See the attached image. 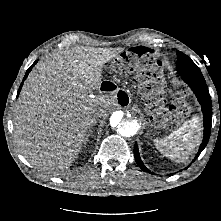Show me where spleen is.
Listing matches in <instances>:
<instances>
[{
  "label": "spleen",
  "mask_w": 221,
  "mask_h": 221,
  "mask_svg": "<svg viewBox=\"0 0 221 221\" xmlns=\"http://www.w3.org/2000/svg\"><path fill=\"white\" fill-rule=\"evenodd\" d=\"M200 138V120L194 116L169 136L155 140V146L166 157H170L176 162H184L198 145Z\"/></svg>",
  "instance_id": "3e777b00"
}]
</instances>
